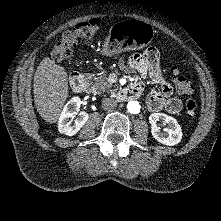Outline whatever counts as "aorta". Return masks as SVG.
I'll use <instances>...</instances> for the list:
<instances>
[{"mask_svg": "<svg viewBox=\"0 0 221 221\" xmlns=\"http://www.w3.org/2000/svg\"><path fill=\"white\" fill-rule=\"evenodd\" d=\"M140 108L141 107L138 101H130L127 104V110L132 114H138L140 112Z\"/></svg>", "mask_w": 221, "mask_h": 221, "instance_id": "1", "label": "aorta"}]
</instances>
